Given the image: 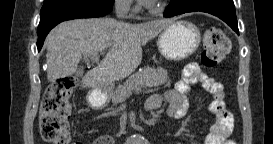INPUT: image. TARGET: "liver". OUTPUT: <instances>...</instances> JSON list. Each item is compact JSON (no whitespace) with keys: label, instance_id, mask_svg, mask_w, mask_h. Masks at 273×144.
<instances>
[{"label":"liver","instance_id":"liver-1","mask_svg":"<svg viewBox=\"0 0 273 144\" xmlns=\"http://www.w3.org/2000/svg\"><path fill=\"white\" fill-rule=\"evenodd\" d=\"M174 21L129 24L111 18H91L62 22L46 38L48 80L73 75L82 55L108 49L98 66L82 78V86L109 87L135 71L142 60V46Z\"/></svg>","mask_w":273,"mask_h":144}]
</instances>
